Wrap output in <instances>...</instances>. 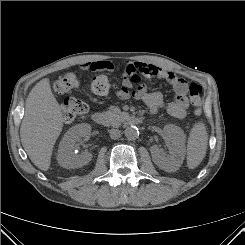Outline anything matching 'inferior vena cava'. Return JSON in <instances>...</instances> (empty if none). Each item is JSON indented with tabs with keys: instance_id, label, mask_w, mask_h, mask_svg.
Listing matches in <instances>:
<instances>
[{
	"instance_id": "1",
	"label": "inferior vena cava",
	"mask_w": 245,
	"mask_h": 245,
	"mask_svg": "<svg viewBox=\"0 0 245 245\" xmlns=\"http://www.w3.org/2000/svg\"><path fill=\"white\" fill-rule=\"evenodd\" d=\"M109 135L111 139H118L120 137V131L118 129H111L109 130Z\"/></svg>"
}]
</instances>
